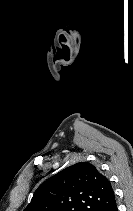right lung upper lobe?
Returning a JSON list of instances; mask_svg holds the SVG:
<instances>
[{"label":"right lung upper lobe","mask_w":133,"mask_h":211,"mask_svg":"<svg viewBox=\"0 0 133 211\" xmlns=\"http://www.w3.org/2000/svg\"><path fill=\"white\" fill-rule=\"evenodd\" d=\"M116 206L110 181L80 162L42 183L24 211H110Z\"/></svg>","instance_id":"right-lung-upper-lobe-1"}]
</instances>
